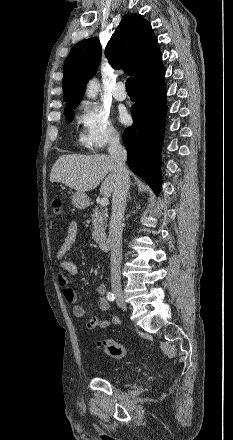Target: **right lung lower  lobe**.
<instances>
[{
    "label": "right lung lower lobe",
    "instance_id": "1",
    "mask_svg": "<svg viewBox=\"0 0 233 440\" xmlns=\"http://www.w3.org/2000/svg\"><path fill=\"white\" fill-rule=\"evenodd\" d=\"M164 74L162 66L135 84V104L131 108L134 123L123 135L129 168L156 194L161 187L160 150L166 116Z\"/></svg>",
    "mask_w": 233,
    "mask_h": 440
}]
</instances>
